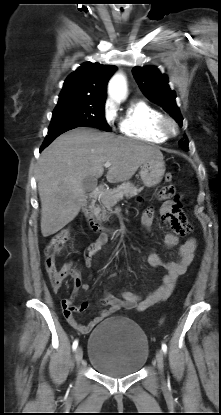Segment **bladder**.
Instances as JSON below:
<instances>
[{
	"label": "bladder",
	"mask_w": 221,
	"mask_h": 415,
	"mask_svg": "<svg viewBox=\"0 0 221 415\" xmlns=\"http://www.w3.org/2000/svg\"><path fill=\"white\" fill-rule=\"evenodd\" d=\"M149 343L131 319L117 316L95 327L88 341V360L99 373L120 378L138 372L146 363Z\"/></svg>",
	"instance_id": "1"
}]
</instances>
